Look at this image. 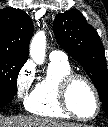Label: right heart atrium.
<instances>
[{"instance_id":"right-heart-atrium-1","label":"right heart atrium","mask_w":108,"mask_h":127,"mask_svg":"<svg viewBox=\"0 0 108 127\" xmlns=\"http://www.w3.org/2000/svg\"><path fill=\"white\" fill-rule=\"evenodd\" d=\"M35 70L31 62H26L16 76V93L19 99L27 100L28 93L34 84Z\"/></svg>"}]
</instances>
